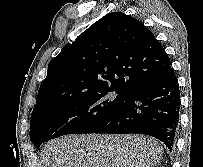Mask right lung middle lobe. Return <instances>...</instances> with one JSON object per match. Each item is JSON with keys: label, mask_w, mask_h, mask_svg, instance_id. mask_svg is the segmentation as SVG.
<instances>
[{"label": "right lung middle lobe", "mask_w": 203, "mask_h": 167, "mask_svg": "<svg viewBox=\"0 0 203 167\" xmlns=\"http://www.w3.org/2000/svg\"><path fill=\"white\" fill-rule=\"evenodd\" d=\"M109 90L56 100L32 112L30 140L42 143L66 134L92 133L124 102V95L113 98Z\"/></svg>", "instance_id": "obj_1"}]
</instances>
